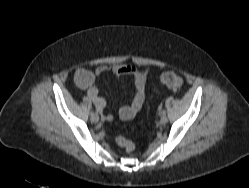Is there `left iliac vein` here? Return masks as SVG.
<instances>
[{"label": "left iliac vein", "mask_w": 249, "mask_h": 188, "mask_svg": "<svg viewBox=\"0 0 249 188\" xmlns=\"http://www.w3.org/2000/svg\"><path fill=\"white\" fill-rule=\"evenodd\" d=\"M168 122V118L166 115H163L160 119V123L161 124H166Z\"/></svg>", "instance_id": "obj_1"}]
</instances>
